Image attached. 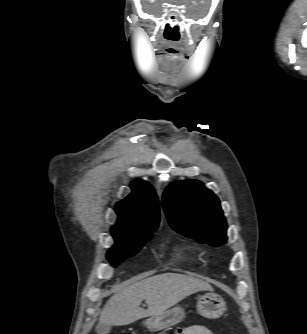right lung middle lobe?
Segmentation results:
<instances>
[{"mask_svg": "<svg viewBox=\"0 0 307 334\" xmlns=\"http://www.w3.org/2000/svg\"><path fill=\"white\" fill-rule=\"evenodd\" d=\"M156 229L157 227L130 236H113L115 245L107 252V259L116 266L125 258L136 254L152 238V233Z\"/></svg>", "mask_w": 307, "mask_h": 334, "instance_id": "dd1d6c3e", "label": "right lung middle lobe"}]
</instances>
